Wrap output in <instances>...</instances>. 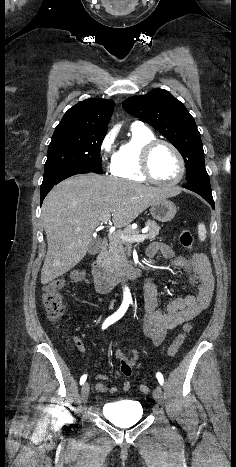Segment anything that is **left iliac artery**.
I'll return each instance as SVG.
<instances>
[{
  "mask_svg": "<svg viewBox=\"0 0 236 467\" xmlns=\"http://www.w3.org/2000/svg\"><path fill=\"white\" fill-rule=\"evenodd\" d=\"M156 377H157L158 382L160 383V385H163V383H164L163 375L160 372H157Z\"/></svg>",
  "mask_w": 236,
  "mask_h": 467,
  "instance_id": "left-iliac-artery-1",
  "label": "left iliac artery"
}]
</instances>
